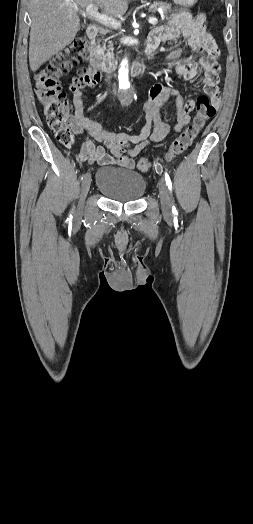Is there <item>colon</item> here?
<instances>
[{"label":"colon","instance_id":"1","mask_svg":"<svg viewBox=\"0 0 253 524\" xmlns=\"http://www.w3.org/2000/svg\"><path fill=\"white\" fill-rule=\"evenodd\" d=\"M88 40L78 36L63 48L56 56L46 62L34 75V90L43 110L48 127L55 133L58 142L64 147H71L75 142L73 122L70 119V104L59 78L78 66L85 57ZM103 71L100 68H78L68 82V92L75 97L82 96L85 90L100 84ZM196 114L192 122L176 137L169 146L166 159L172 160L182 155L199 134L204 125L214 117L215 109L208 96L202 95L196 101ZM140 171L150 169V162L141 158L137 162Z\"/></svg>","mask_w":253,"mask_h":524}]
</instances>
